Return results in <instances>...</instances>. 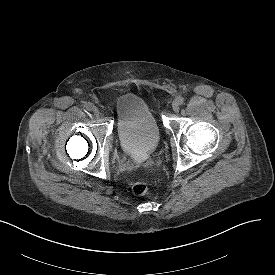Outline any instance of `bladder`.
Here are the masks:
<instances>
[{
  "label": "bladder",
  "mask_w": 275,
  "mask_h": 275,
  "mask_svg": "<svg viewBox=\"0 0 275 275\" xmlns=\"http://www.w3.org/2000/svg\"><path fill=\"white\" fill-rule=\"evenodd\" d=\"M117 136L123 152L135 160H146L160 141L158 125L139 96L127 93L116 101Z\"/></svg>",
  "instance_id": "1"
}]
</instances>
